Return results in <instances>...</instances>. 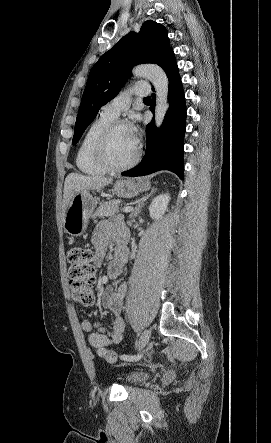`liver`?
<instances>
[{
	"mask_svg": "<svg viewBox=\"0 0 271 443\" xmlns=\"http://www.w3.org/2000/svg\"><path fill=\"white\" fill-rule=\"evenodd\" d=\"M113 182L112 178H94V176H81V174H69L65 178L64 182V194H63V222L65 216V210L71 202L74 194H77L79 190H101L104 186H108Z\"/></svg>",
	"mask_w": 271,
	"mask_h": 443,
	"instance_id": "obj_1",
	"label": "liver"
}]
</instances>
